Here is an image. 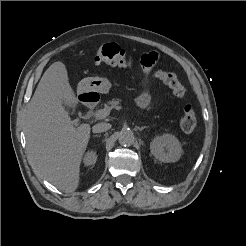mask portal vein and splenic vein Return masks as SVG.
<instances>
[{
	"label": "portal vein and splenic vein",
	"mask_w": 246,
	"mask_h": 246,
	"mask_svg": "<svg viewBox=\"0 0 246 246\" xmlns=\"http://www.w3.org/2000/svg\"><path fill=\"white\" fill-rule=\"evenodd\" d=\"M116 109L120 110V109H122V107L118 106V107H116ZM110 111H111V109H109V108L100 109V110L95 112L94 117L96 119H104L110 114Z\"/></svg>",
	"instance_id": "portal-vein-and-splenic-vein-1"
}]
</instances>
